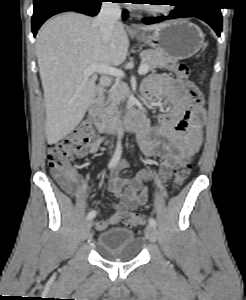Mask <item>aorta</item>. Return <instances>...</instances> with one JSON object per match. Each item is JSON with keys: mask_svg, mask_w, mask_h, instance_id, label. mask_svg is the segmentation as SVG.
I'll list each match as a JSON object with an SVG mask.
<instances>
[{"mask_svg": "<svg viewBox=\"0 0 246 300\" xmlns=\"http://www.w3.org/2000/svg\"><path fill=\"white\" fill-rule=\"evenodd\" d=\"M123 136V131L121 128L118 129V137L121 138Z\"/></svg>", "mask_w": 246, "mask_h": 300, "instance_id": "1", "label": "aorta"}]
</instances>
